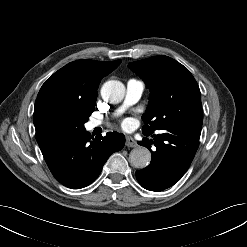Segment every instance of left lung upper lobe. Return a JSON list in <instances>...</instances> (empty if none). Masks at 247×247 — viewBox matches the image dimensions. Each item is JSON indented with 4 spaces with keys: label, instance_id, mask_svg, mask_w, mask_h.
Returning <instances> with one entry per match:
<instances>
[{
    "label": "left lung upper lobe",
    "instance_id": "1",
    "mask_svg": "<svg viewBox=\"0 0 247 247\" xmlns=\"http://www.w3.org/2000/svg\"><path fill=\"white\" fill-rule=\"evenodd\" d=\"M150 89V101L142 116L144 135L173 123L202 127L198 84L190 71L176 60L160 55L129 63Z\"/></svg>",
    "mask_w": 247,
    "mask_h": 247
}]
</instances>
